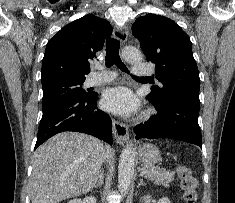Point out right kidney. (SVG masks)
I'll use <instances>...</instances> for the list:
<instances>
[{"label": "right kidney", "instance_id": "right-kidney-1", "mask_svg": "<svg viewBox=\"0 0 235 203\" xmlns=\"http://www.w3.org/2000/svg\"><path fill=\"white\" fill-rule=\"evenodd\" d=\"M68 203H97L96 198L94 196H88L84 198L83 200L81 199H74L69 201Z\"/></svg>", "mask_w": 235, "mask_h": 203}]
</instances>
